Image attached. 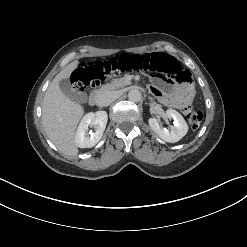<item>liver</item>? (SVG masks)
<instances>
[{
    "label": "liver",
    "mask_w": 247,
    "mask_h": 247,
    "mask_svg": "<svg viewBox=\"0 0 247 247\" xmlns=\"http://www.w3.org/2000/svg\"><path fill=\"white\" fill-rule=\"evenodd\" d=\"M77 65L78 61H73L55 76L45 93L42 105V124L48 138L60 152L68 156L78 154L75 131L84 109L62 93L59 82L69 78Z\"/></svg>",
    "instance_id": "liver-1"
}]
</instances>
